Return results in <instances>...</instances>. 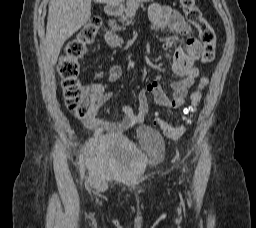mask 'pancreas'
Segmentation results:
<instances>
[{
	"label": "pancreas",
	"instance_id": "obj_1",
	"mask_svg": "<svg viewBox=\"0 0 256 228\" xmlns=\"http://www.w3.org/2000/svg\"><path fill=\"white\" fill-rule=\"evenodd\" d=\"M147 1H150V0H127L125 14L121 16L120 21L124 22L130 19L136 13L140 4ZM112 23L114 24L113 25L114 30L120 29L117 27L115 21H112Z\"/></svg>",
	"mask_w": 256,
	"mask_h": 228
}]
</instances>
